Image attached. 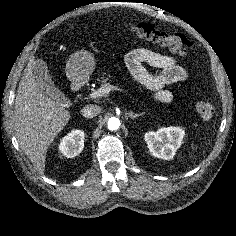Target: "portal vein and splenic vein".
Listing matches in <instances>:
<instances>
[{
  "instance_id": "18ae733b",
  "label": "portal vein and splenic vein",
  "mask_w": 236,
  "mask_h": 236,
  "mask_svg": "<svg viewBox=\"0 0 236 236\" xmlns=\"http://www.w3.org/2000/svg\"><path fill=\"white\" fill-rule=\"evenodd\" d=\"M112 90H118V91H121L123 92V89L117 87V86H114L110 83H105L104 85H102L99 89H97L96 91L92 92L90 95H89V98L91 99H96V98H99V97H103V96H106L108 95ZM126 92V91H124Z\"/></svg>"
}]
</instances>
